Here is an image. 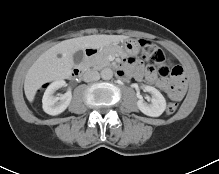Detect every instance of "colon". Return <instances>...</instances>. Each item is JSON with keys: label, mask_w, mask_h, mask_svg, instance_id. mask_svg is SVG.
<instances>
[{"label": "colon", "mask_w": 219, "mask_h": 174, "mask_svg": "<svg viewBox=\"0 0 219 174\" xmlns=\"http://www.w3.org/2000/svg\"><path fill=\"white\" fill-rule=\"evenodd\" d=\"M141 57L150 66H157V71L161 77H174L176 79H184L183 71L180 67L170 68L166 63L164 51L154 43L148 40H140ZM177 110L175 103H169L166 107V113L172 115Z\"/></svg>", "instance_id": "5ec220e1"}]
</instances>
